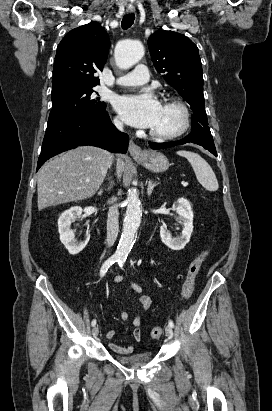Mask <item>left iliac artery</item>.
<instances>
[{"label": "left iliac artery", "instance_id": "left-iliac-artery-1", "mask_svg": "<svg viewBox=\"0 0 272 411\" xmlns=\"http://www.w3.org/2000/svg\"><path fill=\"white\" fill-rule=\"evenodd\" d=\"M125 260H126V258H125V259H124V258L119 259L118 264H119V266H120L121 268L123 267V265H124V263H125ZM168 324H169V326H171L172 328L174 327V323H173L172 320H169Z\"/></svg>", "mask_w": 272, "mask_h": 411}]
</instances>
